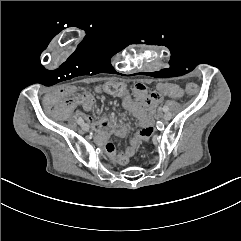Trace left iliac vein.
I'll list each match as a JSON object with an SVG mask.
<instances>
[{"mask_svg":"<svg viewBox=\"0 0 241 241\" xmlns=\"http://www.w3.org/2000/svg\"><path fill=\"white\" fill-rule=\"evenodd\" d=\"M171 119V114L169 112L165 113L163 116V121L167 122Z\"/></svg>","mask_w":241,"mask_h":241,"instance_id":"obj_1","label":"left iliac vein"}]
</instances>
